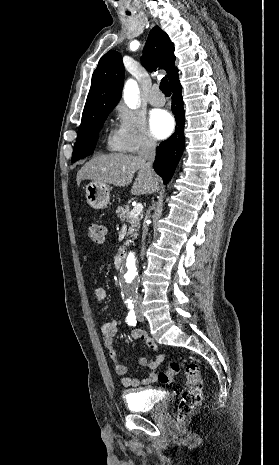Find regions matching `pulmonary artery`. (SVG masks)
<instances>
[{"mask_svg":"<svg viewBox=\"0 0 279 465\" xmlns=\"http://www.w3.org/2000/svg\"><path fill=\"white\" fill-rule=\"evenodd\" d=\"M148 101L152 106L160 107L165 104V97L160 93L158 87H154L148 97Z\"/></svg>","mask_w":279,"mask_h":465,"instance_id":"obj_1","label":"pulmonary artery"}]
</instances>
